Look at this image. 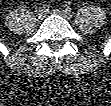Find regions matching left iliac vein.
<instances>
[{
  "instance_id": "4c4485c4",
  "label": "left iliac vein",
  "mask_w": 111,
  "mask_h": 106,
  "mask_svg": "<svg viewBox=\"0 0 111 106\" xmlns=\"http://www.w3.org/2000/svg\"><path fill=\"white\" fill-rule=\"evenodd\" d=\"M49 13L52 15H60L66 19H70V17H71L70 13H66L65 11L58 10V9L49 11Z\"/></svg>"
}]
</instances>
